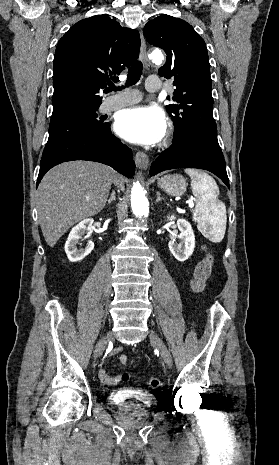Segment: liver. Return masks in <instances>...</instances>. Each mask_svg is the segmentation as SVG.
Listing matches in <instances>:
<instances>
[{
    "mask_svg": "<svg viewBox=\"0 0 279 465\" xmlns=\"http://www.w3.org/2000/svg\"><path fill=\"white\" fill-rule=\"evenodd\" d=\"M112 182L124 190L122 176L91 161L65 162L49 170L37 190L39 224L47 244L53 247L75 223L99 213Z\"/></svg>",
    "mask_w": 279,
    "mask_h": 465,
    "instance_id": "obj_1",
    "label": "liver"
}]
</instances>
